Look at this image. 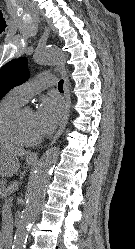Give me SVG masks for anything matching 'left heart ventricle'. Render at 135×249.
Listing matches in <instances>:
<instances>
[{"instance_id": "obj_1", "label": "left heart ventricle", "mask_w": 135, "mask_h": 249, "mask_svg": "<svg viewBox=\"0 0 135 249\" xmlns=\"http://www.w3.org/2000/svg\"><path fill=\"white\" fill-rule=\"evenodd\" d=\"M19 129L22 135L28 139H36L40 136L35 124V113L32 110H27L21 115Z\"/></svg>"}]
</instances>
